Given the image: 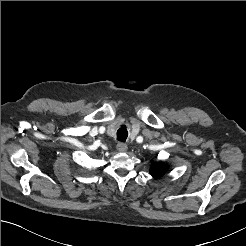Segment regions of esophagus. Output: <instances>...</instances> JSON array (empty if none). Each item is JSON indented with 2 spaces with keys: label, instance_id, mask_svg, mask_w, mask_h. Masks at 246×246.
<instances>
[{
  "label": "esophagus",
  "instance_id": "esophagus-1",
  "mask_svg": "<svg viewBox=\"0 0 246 246\" xmlns=\"http://www.w3.org/2000/svg\"><path fill=\"white\" fill-rule=\"evenodd\" d=\"M127 149H128V146L125 143L120 142V143L117 144V150L119 152L124 153V152L127 151Z\"/></svg>",
  "mask_w": 246,
  "mask_h": 246
}]
</instances>
